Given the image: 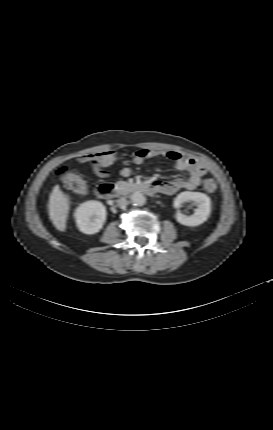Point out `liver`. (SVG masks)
<instances>
[{"mask_svg":"<svg viewBox=\"0 0 273 430\" xmlns=\"http://www.w3.org/2000/svg\"><path fill=\"white\" fill-rule=\"evenodd\" d=\"M70 197L64 193L59 185H55L49 197V216L57 230H66L67 218L70 209Z\"/></svg>","mask_w":273,"mask_h":430,"instance_id":"obj_1","label":"liver"}]
</instances>
